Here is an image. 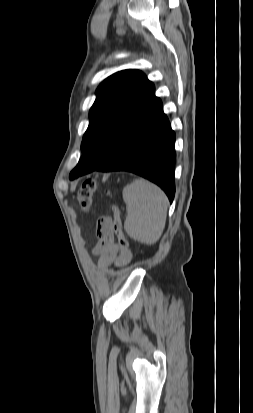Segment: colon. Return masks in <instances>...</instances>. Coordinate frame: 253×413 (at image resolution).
I'll list each match as a JSON object with an SVG mask.
<instances>
[{
    "mask_svg": "<svg viewBox=\"0 0 253 413\" xmlns=\"http://www.w3.org/2000/svg\"><path fill=\"white\" fill-rule=\"evenodd\" d=\"M96 187V181L93 179H87L82 183L77 195V200L81 209L88 210L90 208ZM111 222L113 233L117 237L118 246L121 249H128L129 241L124 234L121 214L116 206L113 207Z\"/></svg>",
    "mask_w": 253,
    "mask_h": 413,
    "instance_id": "colon-1",
    "label": "colon"
}]
</instances>
